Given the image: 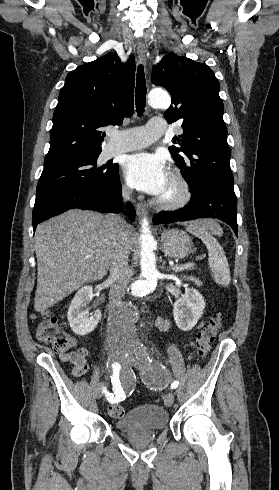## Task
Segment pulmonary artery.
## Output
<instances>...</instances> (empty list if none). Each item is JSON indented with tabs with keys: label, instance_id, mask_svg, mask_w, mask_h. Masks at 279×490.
I'll list each match as a JSON object with an SVG mask.
<instances>
[{
	"label": "pulmonary artery",
	"instance_id": "obj_1",
	"mask_svg": "<svg viewBox=\"0 0 279 490\" xmlns=\"http://www.w3.org/2000/svg\"><path fill=\"white\" fill-rule=\"evenodd\" d=\"M149 127L111 128L112 146L106 150L107 155L127 153L150 145L166 129L163 117H149Z\"/></svg>",
	"mask_w": 279,
	"mask_h": 490
}]
</instances>
